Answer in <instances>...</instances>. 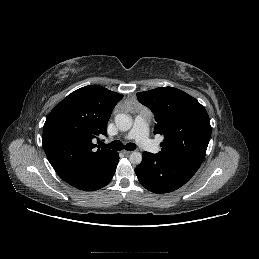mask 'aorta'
<instances>
[{"label": "aorta", "instance_id": "762f6f07", "mask_svg": "<svg viewBox=\"0 0 259 259\" xmlns=\"http://www.w3.org/2000/svg\"><path fill=\"white\" fill-rule=\"evenodd\" d=\"M132 118L127 114H117L115 116V124L120 131H128L132 127ZM129 160L132 164H140L142 161V154L138 151H134L130 154Z\"/></svg>", "mask_w": 259, "mask_h": 259}]
</instances>
